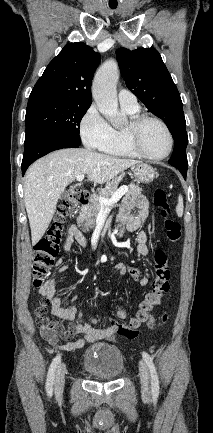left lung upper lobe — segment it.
Masks as SVG:
<instances>
[{
	"mask_svg": "<svg viewBox=\"0 0 213 433\" xmlns=\"http://www.w3.org/2000/svg\"><path fill=\"white\" fill-rule=\"evenodd\" d=\"M116 57L127 88L166 123L174 136V150L169 163L187 169L188 136L182 101L160 54L154 48L132 51L119 48Z\"/></svg>",
	"mask_w": 213,
	"mask_h": 433,
	"instance_id": "obj_1",
	"label": "left lung upper lobe"
}]
</instances>
